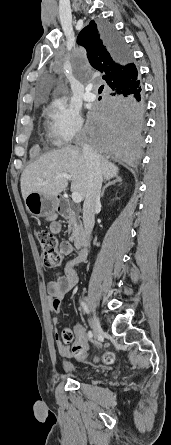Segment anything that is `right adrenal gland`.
<instances>
[{"label": "right adrenal gland", "mask_w": 171, "mask_h": 445, "mask_svg": "<svg viewBox=\"0 0 171 445\" xmlns=\"http://www.w3.org/2000/svg\"><path fill=\"white\" fill-rule=\"evenodd\" d=\"M121 182H122V179H121L119 176H115V179H114L113 181L108 182V183L103 187L102 192H101V197L104 196V192H105V189H106L107 187H109V186H111V185H114V184H116V183H121Z\"/></svg>", "instance_id": "obj_1"}]
</instances>
